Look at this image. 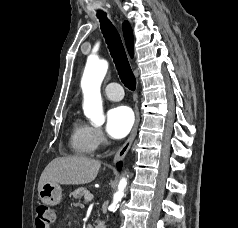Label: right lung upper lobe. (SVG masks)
I'll list each match as a JSON object with an SVG mask.
<instances>
[{"label": "right lung upper lobe", "mask_w": 238, "mask_h": 228, "mask_svg": "<svg viewBox=\"0 0 238 228\" xmlns=\"http://www.w3.org/2000/svg\"><path fill=\"white\" fill-rule=\"evenodd\" d=\"M123 34L124 38L126 41V46L129 51V54L133 56L134 54V49H133V34H132V29L130 27V24L125 21L123 24Z\"/></svg>", "instance_id": "1"}]
</instances>
